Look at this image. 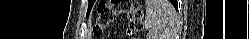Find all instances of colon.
I'll list each match as a JSON object with an SVG mask.
<instances>
[{"label": "colon", "instance_id": "1", "mask_svg": "<svg viewBox=\"0 0 249 39\" xmlns=\"http://www.w3.org/2000/svg\"><path fill=\"white\" fill-rule=\"evenodd\" d=\"M121 14H127L129 17V34L140 32L142 25L140 2L136 0H109L98 5L93 34L101 36L105 29Z\"/></svg>", "mask_w": 249, "mask_h": 39}]
</instances>
